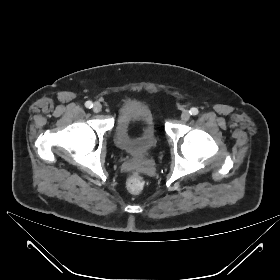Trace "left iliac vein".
<instances>
[{
    "label": "left iliac vein",
    "instance_id": "obj_1",
    "mask_svg": "<svg viewBox=\"0 0 280 280\" xmlns=\"http://www.w3.org/2000/svg\"><path fill=\"white\" fill-rule=\"evenodd\" d=\"M190 118V112L188 110H185L181 114V120L187 121Z\"/></svg>",
    "mask_w": 280,
    "mask_h": 280
}]
</instances>
